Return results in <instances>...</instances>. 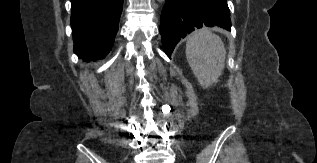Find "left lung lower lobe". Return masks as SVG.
<instances>
[{
  "label": "left lung lower lobe",
  "mask_w": 317,
  "mask_h": 163,
  "mask_svg": "<svg viewBox=\"0 0 317 163\" xmlns=\"http://www.w3.org/2000/svg\"><path fill=\"white\" fill-rule=\"evenodd\" d=\"M214 25L231 30L227 0H166L160 33L170 57L175 45L193 30Z\"/></svg>",
  "instance_id": "0a47b994"
}]
</instances>
